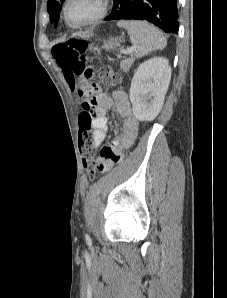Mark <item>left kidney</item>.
Instances as JSON below:
<instances>
[{"label":"left kidney","mask_w":227,"mask_h":298,"mask_svg":"<svg viewBox=\"0 0 227 298\" xmlns=\"http://www.w3.org/2000/svg\"><path fill=\"white\" fill-rule=\"evenodd\" d=\"M170 79L171 67L166 58L153 57L138 67L131 82L130 101L139 121L154 120L159 114Z\"/></svg>","instance_id":"obj_1"}]
</instances>
